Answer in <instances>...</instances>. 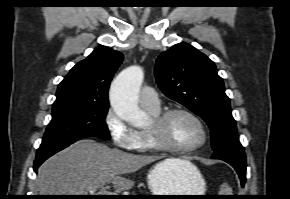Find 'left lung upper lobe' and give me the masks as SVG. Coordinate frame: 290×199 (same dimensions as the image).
Here are the masks:
<instances>
[{
	"label": "left lung upper lobe",
	"instance_id": "1",
	"mask_svg": "<svg viewBox=\"0 0 290 199\" xmlns=\"http://www.w3.org/2000/svg\"><path fill=\"white\" fill-rule=\"evenodd\" d=\"M155 76L162 92L200 116L211 129L214 152L243 150L230 100L212 60L187 43L163 52Z\"/></svg>",
	"mask_w": 290,
	"mask_h": 199
}]
</instances>
